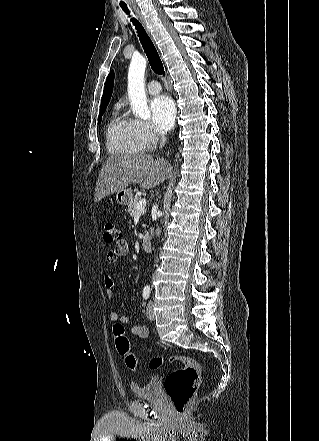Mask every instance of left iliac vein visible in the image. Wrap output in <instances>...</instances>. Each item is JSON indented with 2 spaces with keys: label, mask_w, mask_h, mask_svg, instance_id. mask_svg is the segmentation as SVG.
Listing matches in <instances>:
<instances>
[{
  "label": "left iliac vein",
  "mask_w": 319,
  "mask_h": 441,
  "mask_svg": "<svg viewBox=\"0 0 319 441\" xmlns=\"http://www.w3.org/2000/svg\"><path fill=\"white\" fill-rule=\"evenodd\" d=\"M147 317L150 320H154L155 319V314L153 311V302L150 301L147 305V311H146Z\"/></svg>",
  "instance_id": "left-iliac-vein-1"
}]
</instances>
